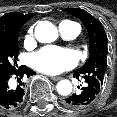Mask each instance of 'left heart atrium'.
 Segmentation results:
<instances>
[{
	"mask_svg": "<svg viewBox=\"0 0 117 117\" xmlns=\"http://www.w3.org/2000/svg\"><path fill=\"white\" fill-rule=\"evenodd\" d=\"M76 64L74 53L68 49L48 46L31 57V65L36 70L55 75L72 68Z\"/></svg>",
	"mask_w": 117,
	"mask_h": 117,
	"instance_id": "left-heart-atrium-1",
	"label": "left heart atrium"
}]
</instances>
